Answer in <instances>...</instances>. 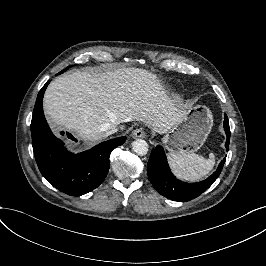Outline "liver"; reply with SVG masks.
<instances>
[{
	"mask_svg": "<svg viewBox=\"0 0 266 266\" xmlns=\"http://www.w3.org/2000/svg\"><path fill=\"white\" fill-rule=\"evenodd\" d=\"M43 108L49 122L93 143L105 138L106 130L131 121L164 134L187 114L156 74L124 65L56 78L45 91Z\"/></svg>",
	"mask_w": 266,
	"mask_h": 266,
	"instance_id": "obj_1",
	"label": "liver"
}]
</instances>
